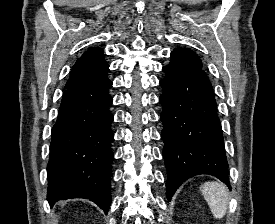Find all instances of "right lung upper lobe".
<instances>
[{"instance_id": "right-lung-upper-lobe-1", "label": "right lung upper lobe", "mask_w": 275, "mask_h": 224, "mask_svg": "<svg viewBox=\"0 0 275 224\" xmlns=\"http://www.w3.org/2000/svg\"><path fill=\"white\" fill-rule=\"evenodd\" d=\"M103 53L101 48L86 51L73 66L65 89L106 77L109 68Z\"/></svg>"}]
</instances>
